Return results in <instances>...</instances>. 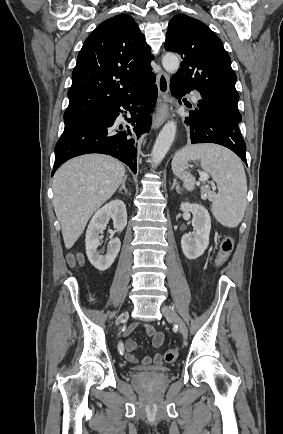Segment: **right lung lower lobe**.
<instances>
[{"label":"right lung lower lobe","mask_w":283,"mask_h":434,"mask_svg":"<svg viewBox=\"0 0 283 434\" xmlns=\"http://www.w3.org/2000/svg\"><path fill=\"white\" fill-rule=\"evenodd\" d=\"M155 74L129 95L112 103L101 111L65 122V129L55 146V163L52 175L67 160L88 153L111 155L136 173L137 140L151 126L148 107L157 98ZM121 113H128L129 123L118 125L115 120Z\"/></svg>","instance_id":"right-lung-lower-lobe-1"}]
</instances>
